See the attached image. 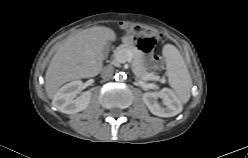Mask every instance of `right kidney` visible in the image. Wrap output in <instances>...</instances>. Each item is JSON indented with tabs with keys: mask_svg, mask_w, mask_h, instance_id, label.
I'll list each match as a JSON object with an SVG mask.
<instances>
[{
	"mask_svg": "<svg viewBox=\"0 0 248 158\" xmlns=\"http://www.w3.org/2000/svg\"><path fill=\"white\" fill-rule=\"evenodd\" d=\"M81 87V81H74L62 87L55 97L57 109L66 114H74L84 110L89 104L91 92L86 91L76 98Z\"/></svg>",
	"mask_w": 248,
	"mask_h": 158,
	"instance_id": "right-kidney-1",
	"label": "right kidney"
}]
</instances>
